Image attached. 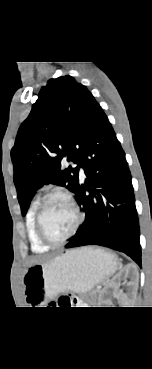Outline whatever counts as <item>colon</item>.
Here are the masks:
<instances>
[{"instance_id": "1", "label": "colon", "mask_w": 152, "mask_h": 369, "mask_svg": "<svg viewBox=\"0 0 152 369\" xmlns=\"http://www.w3.org/2000/svg\"><path fill=\"white\" fill-rule=\"evenodd\" d=\"M73 304V301L69 295H61L58 297L56 302H53V306L58 307H70Z\"/></svg>"}]
</instances>
